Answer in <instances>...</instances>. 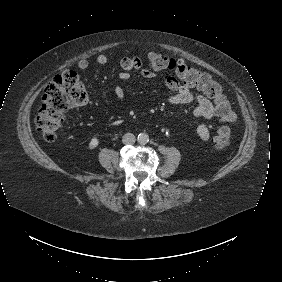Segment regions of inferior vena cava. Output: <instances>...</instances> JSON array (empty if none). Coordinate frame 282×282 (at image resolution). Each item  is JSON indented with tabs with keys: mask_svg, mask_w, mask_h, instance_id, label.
<instances>
[{
	"mask_svg": "<svg viewBox=\"0 0 282 282\" xmlns=\"http://www.w3.org/2000/svg\"><path fill=\"white\" fill-rule=\"evenodd\" d=\"M136 141L135 135L132 133H126L122 137V142L125 145H133Z\"/></svg>",
	"mask_w": 282,
	"mask_h": 282,
	"instance_id": "1",
	"label": "inferior vena cava"
}]
</instances>
